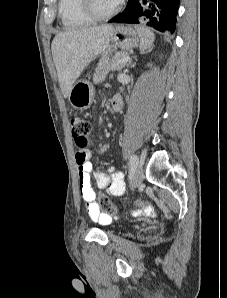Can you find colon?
I'll return each mask as SVG.
<instances>
[{
	"mask_svg": "<svg viewBox=\"0 0 227 298\" xmlns=\"http://www.w3.org/2000/svg\"><path fill=\"white\" fill-rule=\"evenodd\" d=\"M91 130L90 123L83 117L80 116H74L71 119V131L72 136L74 138L75 144L79 151H84L89 142V134ZM98 204L104 208V213H119V208H114L111 204L109 198L104 194H99L97 198ZM133 207H152V202H133ZM134 212V210H133Z\"/></svg>",
	"mask_w": 227,
	"mask_h": 298,
	"instance_id": "5ec220e1",
	"label": "colon"
}]
</instances>
